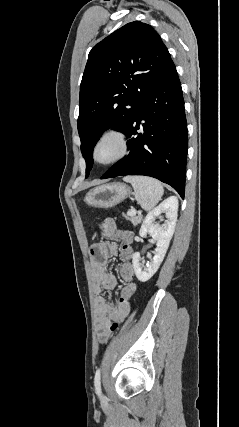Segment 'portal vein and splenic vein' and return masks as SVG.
Returning a JSON list of instances; mask_svg holds the SVG:
<instances>
[{
    "label": "portal vein and splenic vein",
    "instance_id": "18ae733b",
    "mask_svg": "<svg viewBox=\"0 0 239 427\" xmlns=\"http://www.w3.org/2000/svg\"><path fill=\"white\" fill-rule=\"evenodd\" d=\"M128 215H130V216H134V215H136V210L132 208V209L128 212Z\"/></svg>",
    "mask_w": 239,
    "mask_h": 427
}]
</instances>
